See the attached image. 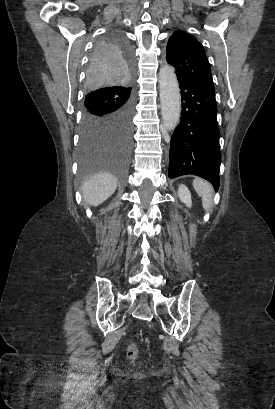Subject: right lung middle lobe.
<instances>
[{"mask_svg":"<svg viewBox=\"0 0 275 409\" xmlns=\"http://www.w3.org/2000/svg\"><path fill=\"white\" fill-rule=\"evenodd\" d=\"M135 58L136 51L117 32L109 31L95 42L85 81L76 182H89L93 172H113L121 182L126 181L133 144L130 84Z\"/></svg>","mask_w":275,"mask_h":409,"instance_id":"1","label":"right lung middle lobe"}]
</instances>
